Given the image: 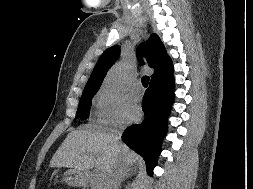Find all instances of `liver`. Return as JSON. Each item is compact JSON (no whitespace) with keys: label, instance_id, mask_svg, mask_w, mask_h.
I'll return each instance as SVG.
<instances>
[{"label":"liver","instance_id":"liver-1","mask_svg":"<svg viewBox=\"0 0 253 189\" xmlns=\"http://www.w3.org/2000/svg\"><path fill=\"white\" fill-rule=\"evenodd\" d=\"M139 156L126 144L115 143L113 135L88 128L67 135L50 161V167H67L88 171L94 166L103 179L118 161L133 165Z\"/></svg>","mask_w":253,"mask_h":189}]
</instances>
